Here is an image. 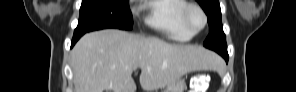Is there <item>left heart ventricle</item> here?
<instances>
[{
  "label": "left heart ventricle",
  "instance_id": "1",
  "mask_svg": "<svg viewBox=\"0 0 296 92\" xmlns=\"http://www.w3.org/2000/svg\"><path fill=\"white\" fill-rule=\"evenodd\" d=\"M190 22L194 28L201 27V25L203 23V19H202L201 14L197 11H192L190 13Z\"/></svg>",
  "mask_w": 296,
  "mask_h": 92
}]
</instances>
